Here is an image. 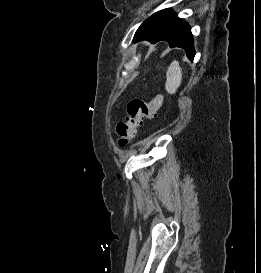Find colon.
<instances>
[{"mask_svg": "<svg viewBox=\"0 0 261 273\" xmlns=\"http://www.w3.org/2000/svg\"><path fill=\"white\" fill-rule=\"evenodd\" d=\"M163 101L161 94L148 102L138 98L130 100L127 104V117L116 125L118 144L122 147L128 145L135 137L137 130L143 125L144 120L154 119L157 116Z\"/></svg>", "mask_w": 261, "mask_h": 273, "instance_id": "obj_1", "label": "colon"}]
</instances>
